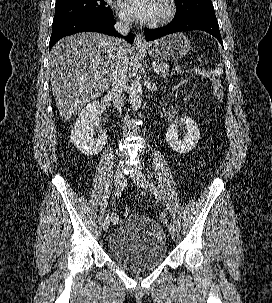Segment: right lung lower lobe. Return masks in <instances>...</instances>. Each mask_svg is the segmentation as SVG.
Here are the masks:
<instances>
[{"label":"right lung lower lobe","instance_id":"right-lung-lower-lobe-1","mask_svg":"<svg viewBox=\"0 0 272 303\" xmlns=\"http://www.w3.org/2000/svg\"><path fill=\"white\" fill-rule=\"evenodd\" d=\"M115 20L111 16L81 15L66 19L64 21L53 23L52 34L49 42V50L61 38L83 31H93L108 34L111 36H120L114 28ZM125 39L133 43L134 37L129 33Z\"/></svg>","mask_w":272,"mask_h":303}]
</instances>
